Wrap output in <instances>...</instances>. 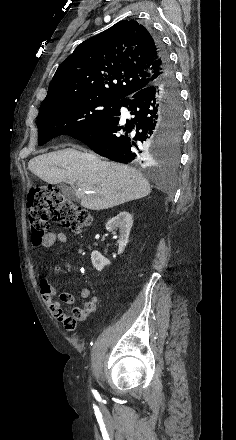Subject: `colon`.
I'll return each mask as SVG.
<instances>
[{"label": "colon", "mask_w": 236, "mask_h": 440, "mask_svg": "<svg viewBox=\"0 0 236 440\" xmlns=\"http://www.w3.org/2000/svg\"><path fill=\"white\" fill-rule=\"evenodd\" d=\"M66 228L80 232L92 222L91 213L63 195L57 188L41 185L28 194V216L34 245H39L49 230L50 213ZM63 321H75L67 316Z\"/></svg>", "instance_id": "5ec220e1"}]
</instances>
